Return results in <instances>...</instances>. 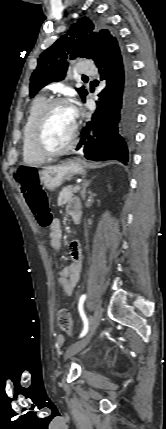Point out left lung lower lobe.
Returning <instances> with one entry per match:
<instances>
[{"mask_svg":"<svg viewBox=\"0 0 166 429\" xmlns=\"http://www.w3.org/2000/svg\"><path fill=\"white\" fill-rule=\"evenodd\" d=\"M93 60L106 85L98 94L97 110L82 129L76 150L82 148L88 160H118L127 164L137 113V87L132 64L118 39L106 45L99 42Z\"/></svg>","mask_w":166,"mask_h":429,"instance_id":"1","label":"left lung lower lobe"}]
</instances>
